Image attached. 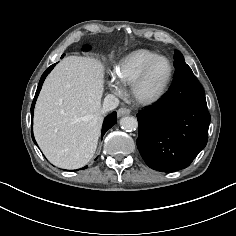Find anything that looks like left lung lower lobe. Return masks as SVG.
Masks as SVG:
<instances>
[{
    "instance_id": "0a47b994",
    "label": "left lung lower lobe",
    "mask_w": 236,
    "mask_h": 236,
    "mask_svg": "<svg viewBox=\"0 0 236 236\" xmlns=\"http://www.w3.org/2000/svg\"><path fill=\"white\" fill-rule=\"evenodd\" d=\"M137 119V147L152 169H184L207 144L211 117L203 87L188 65L176 68L169 91Z\"/></svg>"
}]
</instances>
